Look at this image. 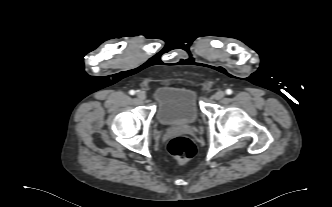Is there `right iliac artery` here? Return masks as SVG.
<instances>
[{
    "instance_id": "1",
    "label": "right iliac artery",
    "mask_w": 332,
    "mask_h": 207,
    "mask_svg": "<svg viewBox=\"0 0 332 207\" xmlns=\"http://www.w3.org/2000/svg\"><path fill=\"white\" fill-rule=\"evenodd\" d=\"M129 94H130V95H134V94H135V91H134V90H130V91H129Z\"/></svg>"
}]
</instances>
